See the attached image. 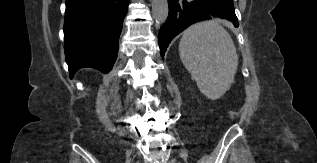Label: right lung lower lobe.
Instances as JSON below:
<instances>
[{
  "instance_id": "right-lung-lower-lobe-1",
  "label": "right lung lower lobe",
  "mask_w": 317,
  "mask_h": 163,
  "mask_svg": "<svg viewBox=\"0 0 317 163\" xmlns=\"http://www.w3.org/2000/svg\"><path fill=\"white\" fill-rule=\"evenodd\" d=\"M129 0H66L65 60L70 78L83 67L108 73L117 58Z\"/></svg>"
}]
</instances>
